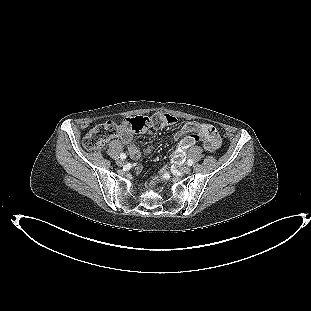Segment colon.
<instances>
[{
	"instance_id": "5ec220e1",
	"label": "colon",
	"mask_w": 311,
	"mask_h": 311,
	"mask_svg": "<svg viewBox=\"0 0 311 311\" xmlns=\"http://www.w3.org/2000/svg\"><path fill=\"white\" fill-rule=\"evenodd\" d=\"M177 124V119L167 113H156L151 118L145 116H136L124 119L120 124L112 121L105 122L92 128L84 137L83 145L88 150H98L105 146V144L117 136L120 128L126 131L142 132L151 125L156 127L173 126ZM195 140L192 136L181 143V146H188ZM160 180H165V172L160 174ZM156 184L153 180L149 186L152 188Z\"/></svg>"
}]
</instances>
